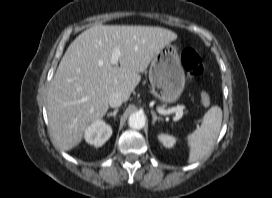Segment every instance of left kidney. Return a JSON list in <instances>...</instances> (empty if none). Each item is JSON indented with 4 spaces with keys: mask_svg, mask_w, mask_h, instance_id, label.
<instances>
[{
    "mask_svg": "<svg viewBox=\"0 0 272 198\" xmlns=\"http://www.w3.org/2000/svg\"><path fill=\"white\" fill-rule=\"evenodd\" d=\"M158 139L165 147L168 148L173 147L176 142L175 138L168 134H160Z\"/></svg>",
    "mask_w": 272,
    "mask_h": 198,
    "instance_id": "left-kidney-1",
    "label": "left kidney"
}]
</instances>
